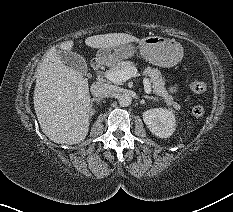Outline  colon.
<instances>
[{
  "instance_id": "obj_1",
  "label": "colon",
  "mask_w": 233,
  "mask_h": 212,
  "mask_svg": "<svg viewBox=\"0 0 233 212\" xmlns=\"http://www.w3.org/2000/svg\"><path fill=\"white\" fill-rule=\"evenodd\" d=\"M190 89L195 93H203L206 90V84L200 80H194L190 83ZM205 110L202 105H195L192 108V113L196 117H200L204 114Z\"/></svg>"
}]
</instances>
